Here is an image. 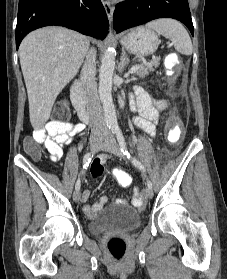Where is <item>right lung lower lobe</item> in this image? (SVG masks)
Masks as SVG:
<instances>
[{
  "instance_id": "1",
  "label": "right lung lower lobe",
  "mask_w": 227,
  "mask_h": 279,
  "mask_svg": "<svg viewBox=\"0 0 227 279\" xmlns=\"http://www.w3.org/2000/svg\"><path fill=\"white\" fill-rule=\"evenodd\" d=\"M58 25L104 39L109 27L100 0H20L16 26V49L31 31Z\"/></svg>"
}]
</instances>
